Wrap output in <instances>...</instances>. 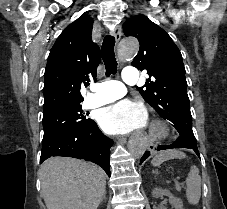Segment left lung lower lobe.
<instances>
[{
    "label": "left lung lower lobe",
    "instance_id": "0a47b994",
    "mask_svg": "<svg viewBox=\"0 0 227 209\" xmlns=\"http://www.w3.org/2000/svg\"><path fill=\"white\" fill-rule=\"evenodd\" d=\"M172 148H188V149H192L194 150V152L198 155V157H200L197 145H194L192 143L189 142H185V141H181L179 138L171 145H162L159 146L156 150H165V149H172ZM150 152L147 151L144 153L143 157L140 160V164L147 158L149 157Z\"/></svg>",
    "mask_w": 227,
    "mask_h": 209
}]
</instances>
